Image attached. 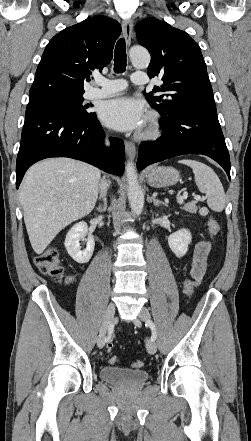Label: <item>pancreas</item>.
Returning a JSON list of instances; mask_svg holds the SVG:
<instances>
[{
    "label": "pancreas",
    "mask_w": 251,
    "mask_h": 441,
    "mask_svg": "<svg viewBox=\"0 0 251 441\" xmlns=\"http://www.w3.org/2000/svg\"><path fill=\"white\" fill-rule=\"evenodd\" d=\"M183 209L189 213H196L198 210V207L196 205V202H189L184 205Z\"/></svg>",
    "instance_id": "cf45deb5"
}]
</instances>
